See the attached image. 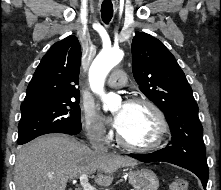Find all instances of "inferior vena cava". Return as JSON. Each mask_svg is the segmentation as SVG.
<instances>
[{"label":"inferior vena cava","instance_id":"602c4592","mask_svg":"<svg viewBox=\"0 0 221 190\" xmlns=\"http://www.w3.org/2000/svg\"><path fill=\"white\" fill-rule=\"evenodd\" d=\"M92 149L96 153H107L108 149L103 143V133L98 131L90 140Z\"/></svg>","mask_w":221,"mask_h":190}]
</instances>
